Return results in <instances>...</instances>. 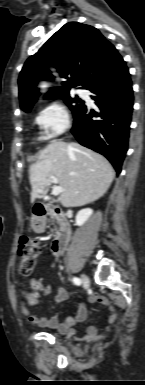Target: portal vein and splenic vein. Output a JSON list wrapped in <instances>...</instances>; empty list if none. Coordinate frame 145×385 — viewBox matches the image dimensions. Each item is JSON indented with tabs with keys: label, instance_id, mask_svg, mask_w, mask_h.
<instances>
[{
	"label": "portal vein and splenic vein",
	"instance_id": "portal-vein-and-splenic-vein-1",
	"mask_svg": "<svg viewBox=\"0 0 145 385\" xmlns=\"http://www.w3.org/2000/svg\"><path fill=\"white\" fill-rule=\"evenodd\" d=\"M49 179L54 184L58 183V179L55 176H50ZM62 192H63V188L61 186H56L53 188L52 194L53 195H59Z\"/></svg>",
	"mask_w": 145,
	"mask_h": 385
}]
</instances>
